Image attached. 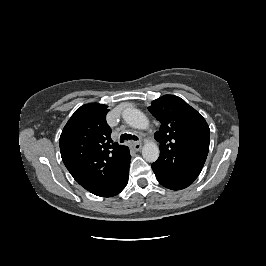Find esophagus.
Masks as SVG:
<instances>
[{"mask_svg":"<svg viewBox=\"0 0 266 266\" xmlns=\"http://www.w3.org/2000/svg\"><path fill=\"white\" fill-rule=\"evenodd\" d=\"M132 147L134 148V150L138 151V150L141 149L142 143H140V142H133L132 143Z\"/></svg>","mask_w":266,"mask_h":266,"instance_id":"obj_1","label":"esophagus"}]
</instances>
